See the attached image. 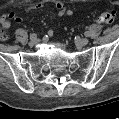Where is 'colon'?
<instances>
[{"label": "colon", "instance_id": "5ec220e1", "mask_svg": "<svg viewBox=\"0 0 119 119\" xmlns=\"http://www.w3.org/2000/svg\"><path fill=\"white\" fill-rule=\"evenodd\" d=\"M115 18H116V13L113 10H106V11L102 12L99 16V20L102 23L107 24V25L112 24L115 21ZM1 38L2 39L7 38V35L5 32L1 33Z\"/></svg>", "mask_w": 119, "mask_h": 119}]
</instances>
